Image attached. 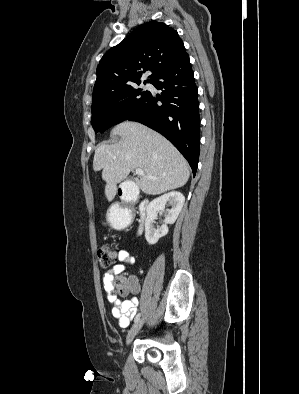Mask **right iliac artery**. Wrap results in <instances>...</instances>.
<instances>
[{
	"label": "right iliac artery",
	"mask_w": 299,
	"mask_h": 394,
	"mask_svg": "<svg viewBox=\"0 0 299 394\" xmlns=\"http://www.w3.org/2000/svg\"><path fill=\"white\" fill-rule=\"evenodd\" d=\"M140 313H138L137 315H136V317H135V319H134V322L136 323L139 319H140Z\"/></svg>",
	"instance_id": "82829eb1"
}]
</instances>
